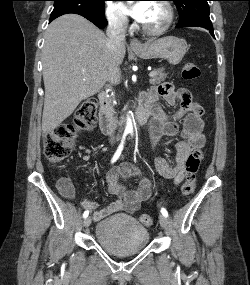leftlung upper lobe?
<instances>
[{"label":"left lung upper lobe","mask_w":250,"mask_h":285,"mask_svg":"<svg viewBox=\"0 0 250 285\" xmlns=\"http://www.w3.org/2000/svg\"><path fill=\"white\" fill-rule=\"evenodd\" d=\"M179 12V22L176 27L212 26L209 17V0H171Z\"/></svg>","instance_id":"left-lung-upper-lobe-1"}]
</instances>
